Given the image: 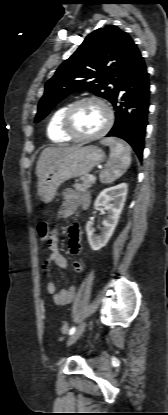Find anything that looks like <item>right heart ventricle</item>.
<instances>
[{"mask_svg":"<svg viewBox=\"0 0 168 415\" xmlns=\"http://www.w3.org/2000/svg\"><path fill=\"white\" fill-rule=\"evenodd\" d=\"M70 104L58 107L51 115L47 125V136L54 143H66L71 140L62 130V118Z\"/></svg>","mask_w":168,"mask_h":415,"instance_id":"right-heart-ventricle-1","label":"right heart ventricle"}]
</instances>
